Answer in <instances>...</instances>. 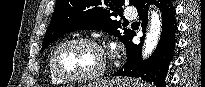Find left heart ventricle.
Instances as JSON below:
<instances>
[{
	"label": "left heart ventricle",
	"mask_w": 205,
	"mask_h": 87,
	"mask_svg": "<svg viewBox=\"0 0 205 87\" xmlns=\"http://www.w3.org/2000/svg\"><path fill=\"white\" fill-rule=\"evenodd\" d=\"M101 63L100 51L86 43L69 44L57 56L59 70L68 75L91 74L100 68Z\"/></svg>",
	"instance_id": "1"
}]
</instances>
